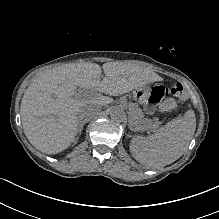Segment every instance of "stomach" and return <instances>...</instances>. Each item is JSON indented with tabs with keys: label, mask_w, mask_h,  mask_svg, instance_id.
I'll list each match as a JSON object with an SVG mask.
<instances>
[{
	"label": "stomach",
	"mask_w": 219,
	"mask_h": 219,
	"mask_svg": "<svg viewBox=\"0 0 219 219\" xmlns=\"http://www.w3.org/2000/svg\"><path fill=\"white\" fill-rule=\"evenodd\" d=\"M148 93H149L148 87H140V88L136 89L135 97L139 100H143L144 98L147 97Z\"/></svg>",
	"instance_id": "stomach-1"
}]
</instances>
